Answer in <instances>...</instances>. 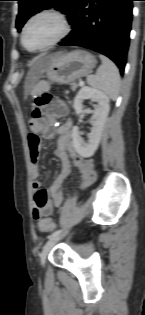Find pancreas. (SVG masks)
I'll use <instances>...</instances> for the list:
<instances>
[{
	"label": "pancreas",
	"instance_id": "cf45deb5",
	"mask_svg": "<svg viewBox=\"0 0 145 315\" xmlns=\"http://www.w3.org/2000/svg\"><path fill=\"white\" fill-rule=\"evenodd\" d=\"M77 84L76 83H72L71 84V89L73 90V91H75L76 89H77Z\"/></svg>",
	"mask_w": 145,
	"mask_h": 315
}]
</instances>
